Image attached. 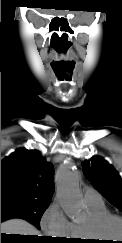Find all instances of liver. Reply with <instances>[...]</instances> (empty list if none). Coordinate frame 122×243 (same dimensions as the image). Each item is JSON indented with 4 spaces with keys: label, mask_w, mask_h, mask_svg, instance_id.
Wrapping results in <instances>:
<instances>
[{
    "label": "liver",
    "mask_w": 122,
    "mask_h": 243,
    "mask_svg": "<svg viewBox=\"0 0 122 243\" xmlns=\"http://www.w3.org/2000/svg\"><path fill=\"white\" fill-rule=\"evenodd\" d=\"M1 233L42 236L34 226L22 219H11L1 223Z\"/></svg>",
    "instance_id": "1"
}]
</instances>
